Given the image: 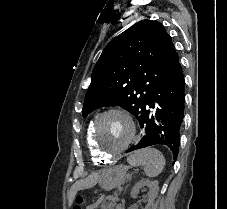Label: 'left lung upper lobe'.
Wrapping results in <instances>:
<instances>
[{
    "label": "left lung upper lobe",
    "instance_id": "obj_1",
    "mask_svg": "<svg viewBox=\"0 0 227 209\" xmlns=\"http://www.w3.org/2000/svg\"><path fill=\"white\" fill-rule=\"evenodd\" d=\"M178 61L162 24L147 19L137 22L103 50L92 72L82 116L119 105L138 119Z\"/></svg>",
    "mask_w": 227,
    "mask_h": 209
}]
</instances>
